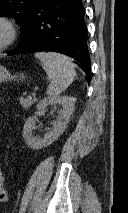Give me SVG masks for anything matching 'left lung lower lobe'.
<instances>
[{"label": "left lung lower lobe", "mask_w": 128, "mask_h": 213, "mask_svg": "<svg viewBox=\"0 0 128 213\" xmlns=\"http://www.w3.org/2000/svg\"><path fill=\"white\" fill-rule=\"evenodd\" d=\"M82 0H38L17 47L8 55L53 51L68 55L91 78Z\"/></svg>", "instance_id": "1"}]
</instances>
